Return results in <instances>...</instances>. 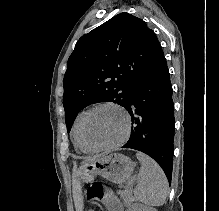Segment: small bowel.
<instances>
[{"label":"small bowel","instance_id":"obj_1","mask_svg":"<svg viewBox=\"0 0 219 211\" xmlns=\"http://www.w3.org/2000/svg\"><path fill=\"white\" fill-rule=\"evenodd\" d=\"M90 196L100 200L108 211H122V206L114 193L110 190L91 193Z\"/></svg>","mask_w":219,"mask_h":211}]
</instances>
